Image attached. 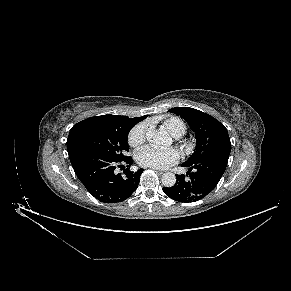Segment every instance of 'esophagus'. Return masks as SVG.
I'll return each mask as SVG.
<instances>
[{
    "instance_id": "1",
    "label": "esophagus",
    "mask_w": 291,
    "mask_h": 291,
    "mask_svg": "<svg viewBox=\"0 0 291 291\" xmlns=\"http://www.w3.org/2000/svg\"><path fill=\"white\" fill-rule=\"evenodd\" d=\"M154 171H156L159 175H162L164 174V171H161V170H157V169H153Z\"/></svg>"
}]
</instances>
